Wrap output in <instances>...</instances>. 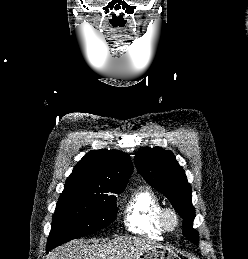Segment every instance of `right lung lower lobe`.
<instances>
[{"label": "right lung lower lobe", "mask_w": 248, "mask_h": 259, "mask_svg": "<svg viewBox=\"0 0 248 259\" xmlns=\"http://www.w3.org/2000/svg\"><path fill=\"white\" fill-rule=\"evenodd\" d=\"M52 248H54L52 245L47 244V248H46L47 252H49Z\"/></svg>", "instance_id": "98d812e1"}]
</instances>
